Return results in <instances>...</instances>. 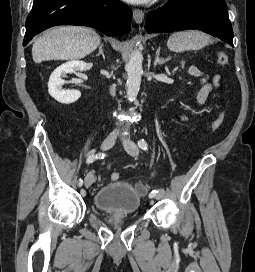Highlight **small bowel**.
I'll return each mask as SVG.
<instances>
[{
	"instance_id": "obj_1",
	"label": "small bowel",
	"mask_w": 255,
	"mask_h": 272,
	"mask_svg": "<svg viewBox=\"0 0 255 272\" xmlns=\"http://www.w3.org/2000/svg\"><path fill=\"white\" fill-rule=\"evenodd\" d=\"M189 73L199 80V86L193 94L194 100L198 105L204 104L212 92L218 89L220 76H208L197 67H191Z\"/></svg>"
}]
</instances>
